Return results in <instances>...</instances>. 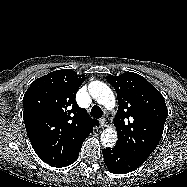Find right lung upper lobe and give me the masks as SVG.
Segmentation results:
<instances>
[{
  "label": "right lung upper lobe",
  "mask_w": 187,
  "mask_h": 187,
  "mask_svg": "<svg viewBox=\"0 0 187 187\" xmlns=\"http://www.w3.org/2000/svg\"><path fill=\"white\" fill-rule=\"evenodd\" d=\"M86 75L56 70L33 81L23 98L24 123L37 155L53 167H64L99 122L75 100Z\"/></svg>",
  "instance_id": "1"
}]
</instances>
